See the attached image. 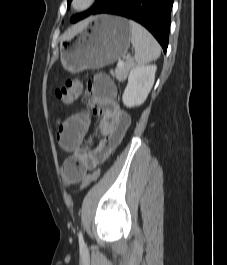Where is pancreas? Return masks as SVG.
<instances>
[{"mask_svg": "<svg viewBox=\"0 0 227 265\" xmlns=\"http://www.w3.org/2000/svg\"><path fill=\"white\" fill-rule=\"evenodd\" d=\"M131 68V63L130 62H127L125 65H123L122 67H117L115 69V71L111 70L110 73L116 77V79L118 81H125L127 75H128V72Z\"/></svg>", "mask_w": 227, "mask_h": 265, "instance_id": "cf45deb5", "label": "pancreas"}]
</instances>
